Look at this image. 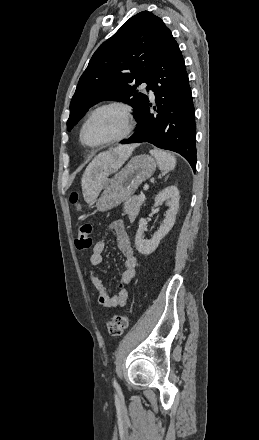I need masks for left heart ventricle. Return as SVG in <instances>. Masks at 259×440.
<instances>
[{
    "instance_id": "1",
    "label": "left heart ventricle",
    "mask_w": 259,
    "mask_h": 440,
    "mask_svg": "<svg viewBox=\"0 0 259 440\" xmlns=\"http://www.w3.org/2000/svg\"><path fill=\"white\" fill-rule=\"evenodd\" d=\"M124 129L122 113L116 108L104 109L96 113L83 131L87 144L102 143L119 136Z\"/></svg>"
}]
</instances>
